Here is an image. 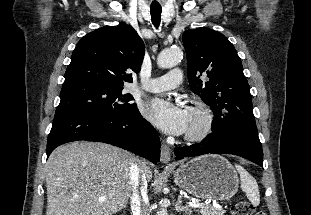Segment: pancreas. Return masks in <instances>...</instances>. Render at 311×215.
<instances>
[{
	"label": "pancreas",
	"mask_w": 311,
	"mask_h": 215,
	"mask_svg": "<svg viewBox=\"0 0 311 215\" xmlns=\"http://www.w3.org/2000/svg\"><path fill=\"white\" fill-rule=\"evenodd\" d=\"M202 207L197 209L201 215H223L225 210L223 208H216L212 205L201 203Z\"/></svg>",
	"instance_id": "obj_1"
}]
</instances>
